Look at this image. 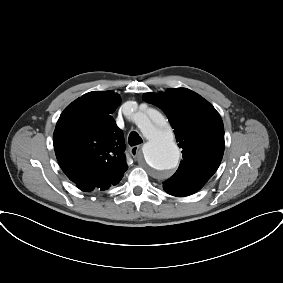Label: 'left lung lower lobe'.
Segmentation results:
<instances>
[{
	"mask_svg": "<svg viewBox=\"0 0 283 283\" xmlns=\"http://www.w3.org/2000/svg\"><path fill=\"white\" fill-rule=\"evenodd\" d=\"M164 190L170 195L183 197V196L191 195L197 192L199 189L192 188V187L178 186L176 188H164Z\"/></svg>",
	"mask_w": 283,
	"mask_h": 283,
	"instance_id": "0a47b994",
	"label": "left lung lower lobe"
}]
</instances>
